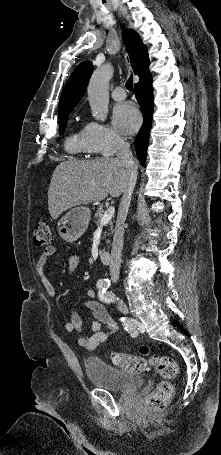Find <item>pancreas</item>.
<instances>
[{"mask_svg":"<svg viewBox=\"0 0 221 455\" xmlns=\"http://www.w3.org/2000/svg\"><path fill=\"white\" fill-rule=\"evenodd\" d=\"M103 213H104V210L102 208H99L96 211L95 215H94L95 223H96L97 226H100V222H101V218L103 216ZM109 225H110V231H112L113 230V223L110 222ZM110 234L111 233H108V235H110Z\"/></svg>","mask_w":221,"mask_h":455,"instance_id":"pancreas-1","label":"pancreas"}]
</instances>
